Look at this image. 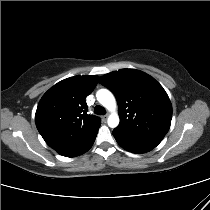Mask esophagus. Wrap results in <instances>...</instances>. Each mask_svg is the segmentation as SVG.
Here are the masks:
<instances>
[{
	"instance_id": "34e87169",
	"label": "esophagus",
	"mask_w": 210,
	"mask_h": 210,
	"mask_svg": "<svg viewBox=\"0 0 210 210\" xmlns=\"http://www.w3.org/2000/svg\"><path fill=\"white\" fill-rule=\"evenodd\" d=\"M101 119H102L103 122H105L107 120V115L101 116Z\"/></svg>"
}]
</instances>
